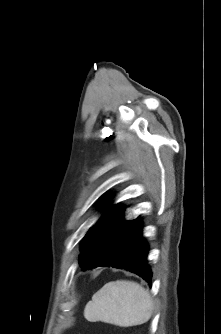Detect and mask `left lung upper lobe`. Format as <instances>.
I'll return each instance as SVG.
<instances>
[{
    "label": "left lung upper lobe",
    "instance_id": "obj_1",
    "mask_svg": "<svg viewBox=\"0 0 221 334\" xmlns=\"http://www.w3.org/2000/svg\"><path fill=\"white\" fill-rule=\"evenodd\" d=\"M105 204H102L103 206ZM123 208L118 206H108L105 208V212L101 217L97 225L89 229L85 235V239L81 245V252L79 256V264L83 268L88 267L94 261V249L96 248L100 238L111 226V224L119 217L122 213Z\"/></svg>",
    "mask_w": 221,
    "mask_h": 334
}]
</instances>
